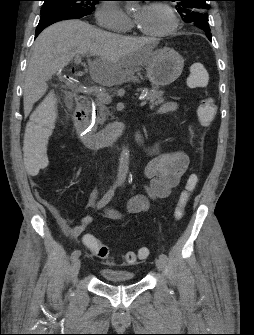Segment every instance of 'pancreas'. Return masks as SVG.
Returning a JSON list of instances; mask_svg holds the SVG:
<instances>
[{
  "label": "pancreas",
  "mask_w": 254,
  "mask_h": 335,
  "mask_svg": "<svg viewBox=\"0 0 254 335\" xmlns=\"http://www.w3.org/2000/svg\"><path fill=\"white\" fill-rule=\"evenodd\" d=\"M142 94L146 93L145 100L149 101V105L151 109H154L156 106L162 104L164 102L163 91H158L156 89L150 91L141 90ZM109 114L108 108L104 105L102 101H98L97 103V124H103L107 119Z\"/></svg>",
  "instance_id": "pancreas-1"
}]
</instances>
